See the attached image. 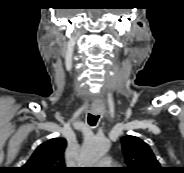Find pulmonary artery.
Returning a JSON list of instances; mask_svg holds the SVG:
<instances>
[{
    "label": "pulmonary artery",
    "instance_id": "obj_1",
    "mask_svg": "<svg viewBox=\"0 0 184 173\" xmlns=\"http://www.w3.org/2000/svg\"><path fill=\"white\" fill-rule=\"evenodd\" d=\"M98 164L100 166H103V167H108V166H111L113 164V161L110 157H105V158H102Z\"/></svg>",
    "mask_w": 184,
    "mask_h": 173
}]
</instances>
